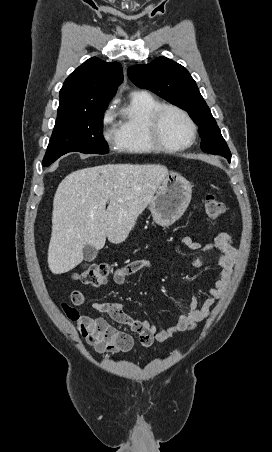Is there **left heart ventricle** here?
Wrapping results in <instances>:
<instances>
[{"label": "left heart ventricle", "instance_id": "obj_1", "mask_svg": "<svg viewBox=\"0 0 272 452\" xmlns=\"http://www.w3.org/2000/svg\"><path fill=\"white\" fill-rule=\"evenodd\" d=\"M161 135L169 145H180L190 137V128L184 117L176 111L164 112L160 122Z\"/></svg>", "mask_w": 272, "mask_h": 452}]
</instances>
